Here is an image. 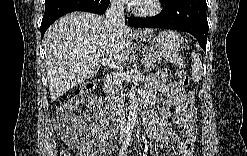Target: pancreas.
<instances>
[{"label": "pancreas", "mask_w": 247, "mask_h": 156, "mask_svg": "<svg viewBox=\"0 0 247 156\" xmlns=\"http://www.w3.org/2000/svg\"><path fill=\"white\" fill-rule=\"evenodd\" d=\"M162 57L166 60H170L171 62L176 63V61H173L170 54H158V53H151V52L146 53L145 55V58L147 59V62L145 63L146 71H151L158 64H161Z\"/></svg>", "instance_id": "obj_1"}]
</instances>
